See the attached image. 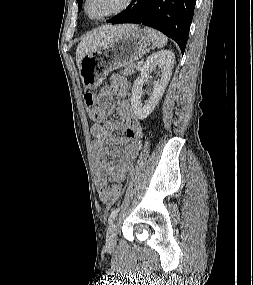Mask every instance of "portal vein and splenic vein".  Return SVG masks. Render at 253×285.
Returning <instances> with one entry per match:
<instances>
[{
    "instance_id": "obj_1",
    "label": "portal vein and splenic vein",
    "mask_w": 253,
    "mask_h": 285,
    "mask_svg": "<svg viewBox=\"0 0 253 285\" xmlns=\"http://www.w3.org/2000/svg\"><path fill=\"white\" fill-rule=\"evenodd\" d=\"M136 68L139 70L141 68V64L139 63Z\"/></svg>"
}]
</instances>
